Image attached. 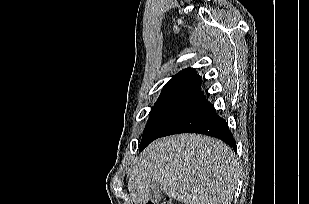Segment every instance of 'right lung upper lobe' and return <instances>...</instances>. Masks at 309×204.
<instances>
[{
	"mask_svg": "<svg viewBox=\"0 0 309 204\" xmlns=\"http://www.w3.org/2000/svg\"><path fill=\"white\" fill-rule=\"evenodd\" d=\"M201 78L192 68L180 71L165 85L156 103H192L196 106L206 102L200 92Z\"/></svg>",
	"mask_w": 309,
	"mask_h": 204,
	"instance_id": "right-lung-upper-lobe-1",
	"label": "right lung upper lobe"
}]
</instances>
